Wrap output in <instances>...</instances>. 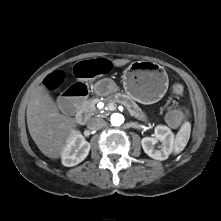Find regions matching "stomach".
<instances>
[{"mask_svg":"<svg viewBox=\"0 0 221 221\" xmlns=\"http://www.w3.org/2000/svg\"><path fill=\"white\" fill-rule=\"evenodd\" d=\"M122 80L126 94L142 104L159 101L169 84L164 68L151 61L132 62L123 72Z\"/></svg>","mask_w":221,"mask_h":221,"instance_id":"1","label":"stomach"}]
</instances>
